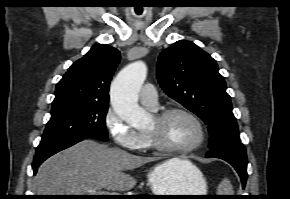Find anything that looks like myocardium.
Instances as JSON below:
<instances>
[{
	"label": "myocardium",
	"instance_id": "1",
	"mask_svg": "<svg viewBox=\"0 0 290 199\" xmlns=\"http://www.w3.org/2000/svg\"><path fill=\"white\" fill-rule=\"evenodd\" d=\"M173 114H183L196 124L199 131L198 140L191 146H188L185 148H175V147H170L161 143L153 133L146 132L145 135L148 138L151 149L161 152V153L169 154V155H187L198 150L200 147H202L207 138L206 129L202 121L200 120V118L192 111L184 107H170V108L161 110L159 112H156L153 118L158 123H162L169 116Z\"/></svg>",
	"mask_w": 290,
	"mask_h": 199
}]
</instances>
